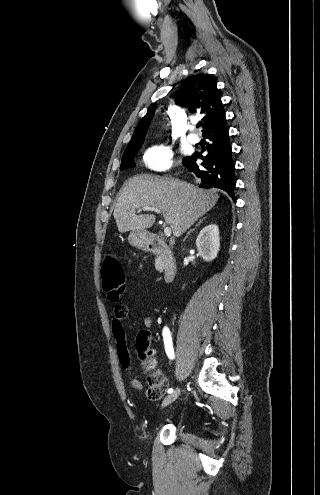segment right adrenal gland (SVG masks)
I'll use <instances>...</instances> for the list:
<instances>
[{
    "instance_id": "right-adrenal-gland-1",
    "label": "right adrenal gland",
    "mask_w": 320,
    "mask_h": 495,
    "mask_svg": "<svg viewBox=\"0 0 320 495\" xmlns=\"http://www.w3.org/2000/svg\"><path fill=\"white\" fill-rule=\"evenodd\" d=\"M205 219H206V217H203L202 219H200V220L198 221V223L195 225V227H194L193 229H190V230L188 231V233H187V235H186V237L184 238V240H183V241H185V240L188 238V236L190 235V233H191V232H193V231H194V230H195V229H196V228H197V227H198V226H199V225L203 222V220H205Z\"/></svg>"
}]
</instances>
